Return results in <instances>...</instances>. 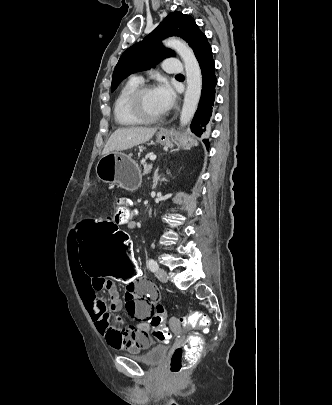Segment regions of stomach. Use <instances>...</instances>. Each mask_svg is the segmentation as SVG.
I'll return each mask as SVG.
<instances>
[{
    "label": "stomach",
    "instance_id": "stomach-1",
    "mask_svg": "<svg viewBox=\"0 0 332 405\" xmlns=\"http://www.w3.org/2000/svg\"><path fill=\"white\" fill-rule=\"evenodd\" d=\"M157 142L163 146H169L172 141L170 131L161 130L157 134ZM197 145L192 136H185L182 147L185 150ZM97 177L103 182L116 185L117 187L134 190L141 183V169L138 163L125 153L111 151L103 155L96 165Z\"/></svg>",
    "mask_w": 332,
    "mask_h": 405
}]
</instances>
